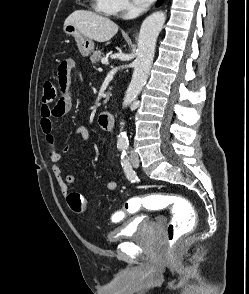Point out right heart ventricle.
<instances>
[{
	"label": "right heart ventricle",
	"instance_id": "e07e8e85",
	"mask_svg": "<svg viewBox=\"0 0 249 294\" xmlns=\"http://www.w3.org/2000/svg\"><path fill=\"white\" fill-rule=\"evenodd\" d=\"M95 10L107 16L117 14L115 0H92Z\"/></svg>",
	"mask_w": 249,
	"mask_h": 294
}]
</instances>
